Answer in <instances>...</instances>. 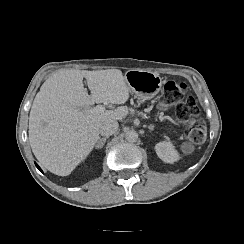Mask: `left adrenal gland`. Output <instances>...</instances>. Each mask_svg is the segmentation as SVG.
Wrapping results in <instances>:
<instances>
[{"label":"left adrenal gland","mask_w":244,"mask_h":244,"mask_svg":"<svg viewBox=\"0 0 244 244\" xmlns=\"http://www.w3.org/2000/svg\"><path fill=\"white\" fill-rule=\"evenodd\" d=\"M149 131L152 132V128L151 127H149Z\"/></svg>","instance_id":"obj_1"}]
</instances>
